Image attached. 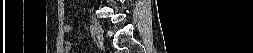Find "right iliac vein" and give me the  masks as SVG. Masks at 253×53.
<instances>
[{
  "label": "right iliac vein",
  "instance_id": "63e3f726",
  "mask_svg": "<svg viewBox=\"0 0 253 53\" xmlns=\"http://www.w3.org/2000/svg\"><path fill=\"white\" fill-rule=\"evenodd\" d=\"M94 29H95V36H96L98 42L100 44H103L104 43V37H103L102 28H101L100 23L97 20L94 21Z\"/></svg>",
  "mask_w": 253,
  "mask_h": 53
}]
</instances>
